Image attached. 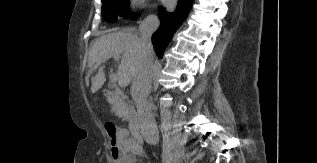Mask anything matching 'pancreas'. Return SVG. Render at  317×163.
Listing matches in <instances>:
<instances>
[{"mask_svg": "<svg viewBox=\"0 0 317 163\" xmlns=\"http://www.w3.org/2000/svg\"><path fill=\"white\" fill-rule=\"evenodd\" d=\"M114 111L124 121H128L129 123L136 121V112L132 105H118L114 107Z\"/></svg>", "mask_w": 317, "mask_h": 163, "instance_id": "1", "label": "pancreas"}]
</instances>
